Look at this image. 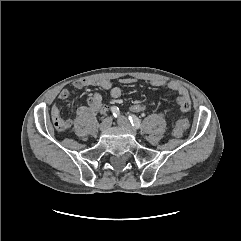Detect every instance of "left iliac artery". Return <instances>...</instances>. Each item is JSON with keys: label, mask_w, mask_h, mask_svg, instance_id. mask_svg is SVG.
<instances>
[{"label": "left iliac artery", "mask_w": 241, "mask_h": 241, "mask_svg": "<svg viewBox=\"0 0 241 241\" xmlns=\"http://www.w3.org/2000/svg\"><path fill=\"white\" fill-rule=\"evenodd\" d=\"M128 118L133 127H135L136 129H139L141 127V122L137 116L131 114V115H129Z\"/></svg>", "instance_id": "obj_1"}]
</instances>
